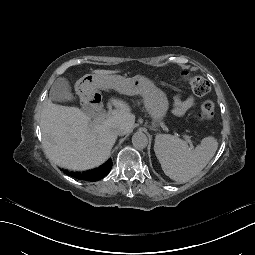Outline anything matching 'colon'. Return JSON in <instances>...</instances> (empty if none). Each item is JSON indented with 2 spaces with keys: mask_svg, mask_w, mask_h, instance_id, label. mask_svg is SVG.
<instances>
[{
  "mask_svg": "<svg viewBox=\"0 0 255 255\" xmlns=\"http://www.w3.org/2000/svg\"><path fill=\"white\" fill-rule=\"evenodd\" d=\"M181 78L189 84L192 91L198 96H204L210 91L209 82L200 76L190 75L187 71L181 72ZM215 114V105L211 100H205L199 110V118L203 121L213 119Z\"/></svg>",
  "mask_w": 255,
  "mask_h": 255,
  "instance_id": "5ec220e1",
  "label": "colon"
}]
</instances>
